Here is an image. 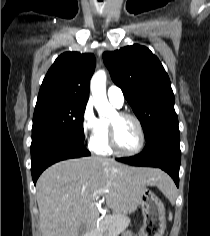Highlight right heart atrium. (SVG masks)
Returning a JSON list of instances; mask_svg holds the SVG:
<instances>
[{"label":"right heart atrium","instance_id":"1","mask_svg":"<svg viewBox=\"0 0 210 236\" xmlns=\"http://www.w3.org/2000/svg\"><path fill=\"white\" fill-rule=\"evenodd\" d=\"M81 129L83 136L91 142L100 131V119L96 116L93 103L89 100L81 115Z\"/></svg>","mask_w":210,"mask_h":236}]
</instances>
